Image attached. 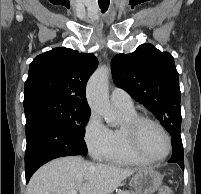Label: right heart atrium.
I'll use <instances>...</instances> for the list:
<instances>
[{"mask_svg":"<svg viewBox=\"0 0 201 194\" xmlns=\"http://www.w3.org/2000/svg\"><path fill=\"white\" fill-rule=\"evenodd\" d=\"M84 141L90 154L98 159L102 158L110 147V130L96 113H92L88 118Z\"/></svg>","mask_w":201,"mask_h":194,"instance_id":"1","label":"right heart atrium"}]
</instances>
